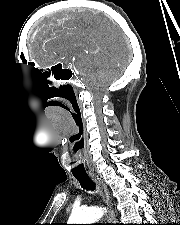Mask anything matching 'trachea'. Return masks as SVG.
<instances>
[{"instance_id": "obj_1", "label": "trachea", "mask_w": 180, "mask_h": 225, "mask_svg": "<svg viewBox=\"0 0 180 225\" xmlns=\"http://www.w3.org/2000/svg\"><path fill=\"white\" fill-rule=\"evenodd\" d=\"M75 178L79 181L83 189L93 191L96 187L95 183L91 180V178L88 175L75 176Z\"/></svg>"}]
</instances>
